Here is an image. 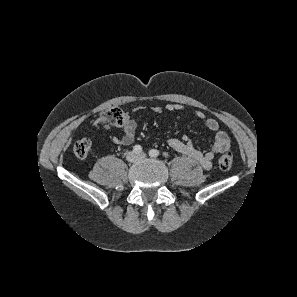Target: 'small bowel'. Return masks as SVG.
Segmentation results:
<instances>
[{"instance_id": "c3829d8e", "label": "small bowel", "mask_w": 297, "mask_h": 297, "mask_svg": "<svg viewBox=\"0 0 297 297\" xmlns=\"http://www.w3.org/2000/svg\"><path fill=\"white\" fill-rule=\"evenodd\" d=\"M166 109L168 111H179L182 106L179 104H169ZM155 113L162 111L161 107H154ZM195 116L200 120H205L206 127L215 132V139L212 147L206 152L196 149L188 137L171 138L168 141L169 146L175 151L190 157L200 164L204 169L208 170L212 166V161L217 153L228 151L230 148V139L226 132L219 129V123L215 118H206L202 111H196ZM100 119L95 123V126L102 124ZM123 135L121 137H111L110 140L117 145H130L133 143L137 131L136 122L128 115L125 116V121L122 125Z\"/></svg>"}]
</instances>
